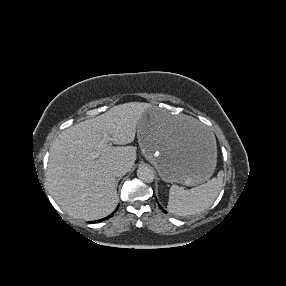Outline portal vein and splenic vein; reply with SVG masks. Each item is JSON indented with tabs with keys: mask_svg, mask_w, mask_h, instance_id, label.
Here are the masks:
<instances>
[{
	"mask_svg": "<svg viewBox=\"0 0 286 286\" xmlns=\"http://www.w3.org/2000/svg\"><path fill=\"white\" fill-rule=\"evenodd\" d=\"M110 141V137L108 135H104L101 144L104 145ZM91 158L95 159L98 157V152L94 151L91 154Z\"/></svg>",
	"mask_w": 286,
	"mask_h": 286,
	"instance_id": "portal-vein-and-splenic-vein-1",
	"label": "portal vein and splenic vein"
}]
</instances>
